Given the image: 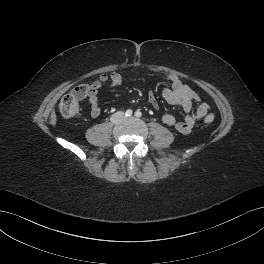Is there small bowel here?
<instances>
[{
	"label": "small bowel",
	"instance_id": "1",
	"mask_svg": "<svg viewBox=\"0 0 264 264\" xmlns=\"http://www.w3.org/2000/svg\"><path fill=\"white\" fill-rule=\"evenodd\" d=\"M166 80L170 85L162 89V96L165 101L171 105L180 107L189 114L180 121L173 115L165 113L162 116V121L178 132L188 134L195 124L209 113L210 107L194 90L184 84L176 75H168ZM108 82H110L113 87L120 86L123 82V78L118 72H112L110 75L102 74L89 85L87 97L90 103V113L94 118L98 117L101 113L98 91ZM148 100L155 109H158L159 104L153 91L149 92ZM194 105L195 109L191 112Z\"/></svg>",
	"mask_w": 264,
	"mask_h": 264
}]
</instances>
